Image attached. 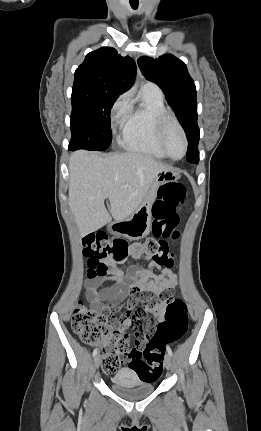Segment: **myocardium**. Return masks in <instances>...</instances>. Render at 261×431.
<instances>
[{"instance_id": "1", "label": "myocardium", "mask_w": 261, "mask_h": 431, "mask_svg": "<svg viewBox=\"0 0 261 431\" xmlns=\"http://www.w3.org/2000/svg\"><path fill=\"white\" fill-rule=\"evenodd\" d=\"M170 125H174L179 130L184 142V151L182 155L177 158L169 154L165 145V134H166L167 128ZM156 137H157L158 144L166 157L172 160H180L186 155L188 150V138L183 126L181 125V123L178 121V119L174 114L167 111L158 116L157 122H156Z\"/></svg>"}]
</instances>
